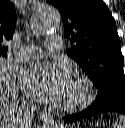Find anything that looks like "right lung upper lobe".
<instances>
[{"label":"right lung upper lobe","instance_id":"right-lung-upper-lobe-1","mask_svg":"<svg viewBox=\"0 0 125 128\" xmlns=\"http://www.w3.org/2000/svg\"><path fill=\"white\" fill-rule=\"evenodd\" d=\"M16 27V11L10 0H0V56L7 57V47L1 43L10 39Z\"/></svg>","mask_w":125,"mask_h":128}]
</instances>
